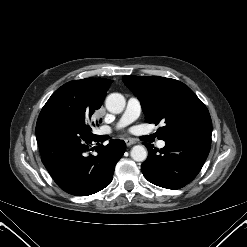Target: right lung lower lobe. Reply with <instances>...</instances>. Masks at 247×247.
<instances>
[{
  "label": "right lung lower lobe",
  "instance_id": "right-lung-lower-lobe-1",
  "mask_svg": "<svg viewBox=\"0 0 247 247\" xmlns=\"http://www.w3.org/2000/svg\"><path fill=\"white\" fill-rule=\"evenodd\" d=\"M36 138L42 162L56 184L76 196L94 194L110 184L115 165L126 150L124 141L99 145L102 136L66 114L42 110L36 124ZM97 142V155L89 154Z\"/></svg>",
  "mask_w": 247,
  "mask_h": 247
}]
</instances>
